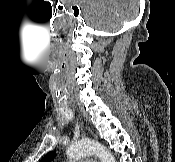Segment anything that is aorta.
<instances>
[{"label":"aorta","mask_w":175,"mask_h":162,"mask_svg":"<svg viewBox=\"0 0 175 162\" xmlns=\"http://www.w3.org/2000/svg\"><path fill=\"white\" fill-rule=\"evenodd\" d=\"M70 159H78L88 155H96L101 162H116L113 154L105 146L94 140H81L72 143L66 150Z\"/></svg>","instance_id":"obj_1"}]
</instances>
